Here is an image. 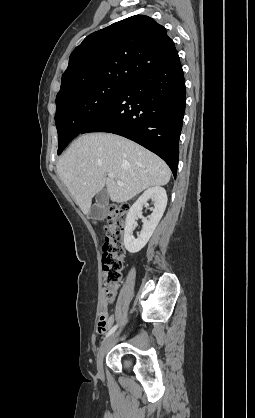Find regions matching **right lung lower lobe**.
<instances>
[{
    "mask_svg": "<svg viewBox=\"0 0 255 418\" xmlns=\"http://www.w3.org/2000/svg\"><path fill=\"white\" fill-rule=\"evenodd\" d=\"M185 102L178 60L131 81L80 134L109 132L133 140L161 157L176 177Z\"/></svg>",
    "mask_w": 255,
    "mask_h": 418,
    "instance_id": "right-lung-lower-lobe-1",
    "label": "right lung lower lobe"
}]
</instances>
